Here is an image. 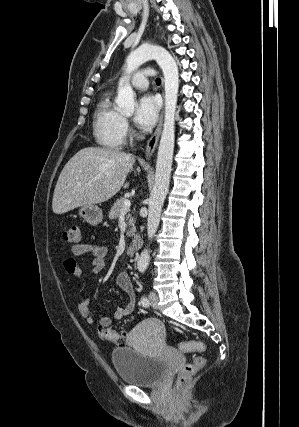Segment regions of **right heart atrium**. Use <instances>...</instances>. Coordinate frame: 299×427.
<instances>
[{
  "label": "right heart atrium",
  "mask_w": 299,
  "mask_h": 427,
  "mask_svg": "<svg viewBox=\"0 0 299 427\" xmlns=\"http://www.w3.org/2000/svg\"><path fill=\"white\" fill-rule=\"evenodd\" d=\"M123 129H124L125 135L130 132V127H129V123H128L127 119H124V121H123Z\"/></svg>",
  "instance_id": "obj_1"
}]
</instances>
